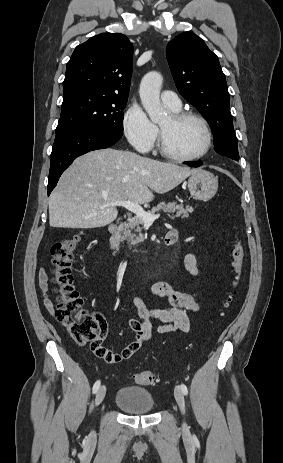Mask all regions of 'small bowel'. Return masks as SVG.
<instances>
[{"mask_svg":"<svg viewBox=\"0 0 283 463\" xmlns=\"http://www.w3.org/2000/svg\"><path fill=\"white\" fill-rule=\"evenodd\" d=\"M171 232L178 237L179 232L173 229ZM186 270L193 276L199 274L197 259L193 253H189L184 258ZM47 273L45 270L39 272V285L45 296L47 309L53 311V305L46 296L47 292ZM152 294L157 297L165 298L169 302L167 308H151L140 297L133 296L132 302L137 309L139 320L130 319L129 328L134 332V339L118 354L119 360L124 361L131 358L141 346L147 342L154 332L169 333L173 331L189 332L191 322L187 311L197 312L200 303L189 293L174 289L166 282H156L151 288Z\"/></svg>","mask_w":283,"mask_h":463,"instance_id":"obj_1","label":"small bowel"}]
</instances>
